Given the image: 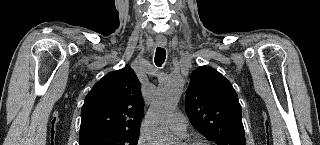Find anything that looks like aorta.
Listing matches in <instances>:
<instances>
[{
    "label": "aorta",
    "instance_id": "obj_1",
    "mask_svg": "<svg viewBox=\"0 0 320 145\" xmlns=\"http://www.w3.org/2000/svg\"><path fill=\"white\" fill-rule=\"evenodd\" d=\"M183 85V79L177 76H170L161 83L144 123L145 134L152 145H174L167 122L177 106Z\"/></svg>",
    "mask_w": 320,
    "mask_h": 145
}]
</instances>
